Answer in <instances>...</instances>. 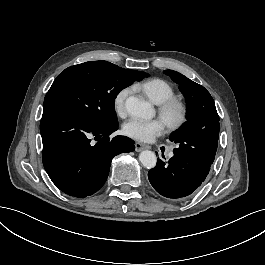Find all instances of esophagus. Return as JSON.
I'll return each instance as SVG.
<instances>
[{"instance_id":"esophagus-1","label":"esophagus","mask_w":265,"mask_h":265,"mask_svg":"<svg viewBox=\"0 0 265 265\" xmlns=\"http://www.w3.org/2000/svg\"><path fill=\"white\" fill-rule=\"evenodd\" d=\"M150 148L151 147L149 145L144 144V143L137 142L135 144V150H136V152H140V151H142L144 149H150Z\"/></svg>"}]
</instances>
